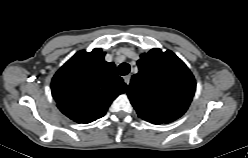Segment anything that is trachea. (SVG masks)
Listing matches in <instances>:
<instances>
[{
	"label": "trachea",
	"instance_id": "3493384b",
	"mask_svg": "<svg viewBox=\"0 0 248 158\" xmlns=\"http://www.w3.org/2000/svg\"><path fill=\"white\" fill-rule=\"evenodd\" d=\"M130 72V65L127 63H122L118 67V73L122 76L127 75Z\"/></svg>",
	"mask_w": 248,
	"mask_h": 158
}]
</instances>
